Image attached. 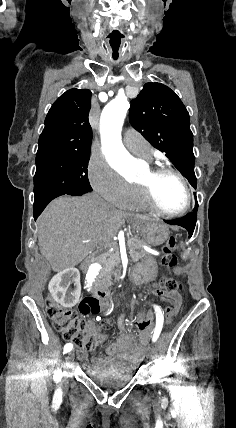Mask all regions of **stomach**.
Returning a JSON list of instances; mask_svg holds the SVG:
<instances>
[{
	"label": "stomach",
	"instance_id": "0dacf381",
	"mask_svg": "<svg viewBox=\"0 0 236 428\" xmlns=\"http://www.w3.org/2000/svg\"><path fill=\"white\" fill-rule=\"evenodd\" d=\"M143 240L150 246H161L169 238V228L160 220H152L142 228ZM157 263L153 256H146L138 264L132 265V274L128 275V282L136 287L147 286L157 275Z\"/></svg>",
	"mask_w": 236,
	"mask_h": 428
}]
</instances>
